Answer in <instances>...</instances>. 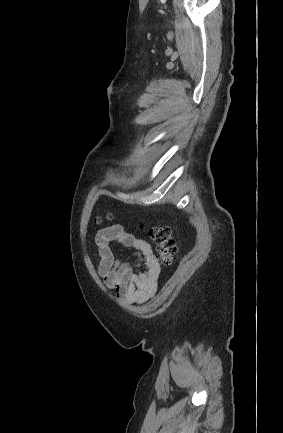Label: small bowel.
Segmentation results:
<instances>
[{
	"label": "small bowel",
	"instance_id": "small-bowel-1",
	"mask_svg": "<svg viewBox=\"0 0 283 433\" xmlns=\"http://www.w3.org/2000/svg\"><path fill=\"white\" fill-rule=\"evenodd\" d=\"M94 244L97 247L98 274L104 284L115 291L120 304H141L155 294L160 265L149 243L130 234L122 225L115 224L99 230ZM115 244L134 249L141 269L134 271L130 263L120 260L113 250Z\"/></svg>",
	"mask_w": 283,
	"mask_h": 433
}]
</instances>
